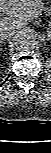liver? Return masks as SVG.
I'll use <instances>...</instances> for the list:
<instances>
[{
  "mask_svg": "<svg viewBox=\"0 0 51 153\" xmlns=\"http://www.w3.org/2000/svg\"><path fill=\"white\" fill-rule=\"evenodd\" d=\"M42 0H0L1 28L20 30L28 21L37 19L43 11Z\"/></svg>",
  "mask_w": 51,
  "mask_h": 153,
  "instance_id": "liver-1",
  "label": "liver"
}]
</instances>
